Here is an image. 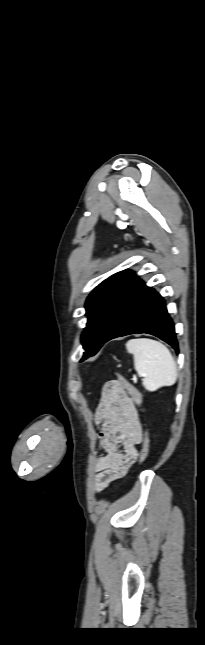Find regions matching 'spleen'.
<instances>
[{"label": "spleen", "mask_w": 205, "mask_h": 645, "mask_svg": "<svg viewBox=\"0 0 205 645\" xmlns=\"http://www.w3.org/2000/svg\"><path fill=\"white\" fill-rule=\"evenodd\" d=\"M126 349L133 355L135 370L143 377L146 390L153 392L176 382V362L162 343L148 338L131 339L126 343Z\"/></svg>", "instance_id": "1"}]
</instances>
